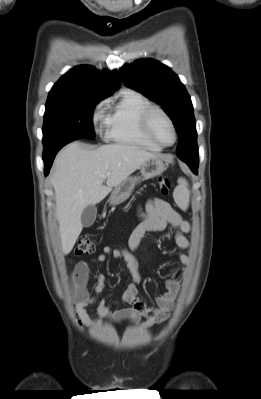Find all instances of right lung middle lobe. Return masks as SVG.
Listing matches in <instances>:
<instances>
[{"mask_svg": "<svg viewBox=\"0 0 261 399\" xmlns=\"http://www.w3.org/2000/svg\"><path fill=\"white\" fill-rule=\"evenodd\" d=\"M102 99L48 97L43 124L44 147L70 138L94 139L92 115Z\"/></svg>", "mask_w": 261, "mask_h": 399, "instance_id": "dd1d6c3e", "label": "right lung middle lobe"}]
</instances>
